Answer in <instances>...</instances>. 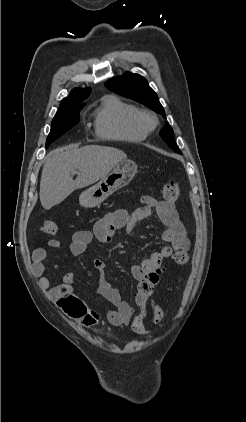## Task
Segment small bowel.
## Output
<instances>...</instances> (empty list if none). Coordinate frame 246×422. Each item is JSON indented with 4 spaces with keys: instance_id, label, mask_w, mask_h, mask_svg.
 Listing matches in <instances>:
<instances>
[{
    "instance_id": "small-bowel-1",
    "label": "small bowel",
    "mask_w": 246,
    "mask_h": 422,
    "mask_svg": "<svg viewBox=\"0 0 246 422\" xmlns=\"http://www.w3.org/2000/svg\"><path fill=\"white\" fill-rule=\"evenodd\" d=\"M142 206L133 212L118 209L105 214L93 226L92 230H80L73 234L70 243V250L73 255L80 256L85 253L87 246L93 239L102 243H109L115 233L120 229L132 232L136 225L148 218L155 210L161 222L166 226L162 233V240L168 245L163 246L159 251L153 252L149 258L131 268L133 277L140 280L145 274L158 269L163 260L171 257L176 252L187 253L189 240L186 230L175 209L173 201H159L152 196H143ZM61 243L56 239L48 242L50 248H58ZM33 271L39 277L42 288L48 290L50 298L60 306L71 318L80 322L85 327H92L99 323L100 315L97 311L87 306L75 296V276L71 272L63 275V282L54 285L49 277L45 275L47 265V251L45 248H37L33 251ZM99 276L96 292L107 299L115 308L107 312L108 321L114 326H123L130 323L133 309L122 299L118 289L111 286L104 276L105 263L101 259L93 261ZM57 268L56 265H54Z\"/></svg>"
}]
</instances>
